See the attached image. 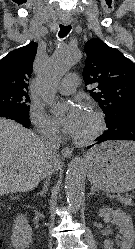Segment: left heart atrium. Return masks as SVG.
Masks as SVG:
<instances>
[{"mask_svg": "<svg viewBox=\"0 0 135 249\" xmlns=\"http://www.w3.org/2000/svg\"><path fill=\"white\" fill-rule=\"evenodd\" d=\"M61 112V124L65 131L71 135H76L85 118L86 110L79 104H68L58 108Z\"/></svg>", "mask_w": 135, "mask_h": 249, "instance_id": "left-heart-atrium-1", "label": "left heart atrium"}]
</instances>
